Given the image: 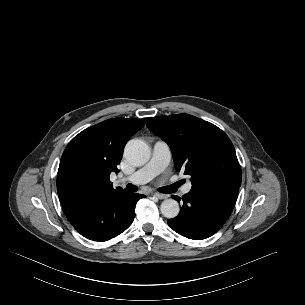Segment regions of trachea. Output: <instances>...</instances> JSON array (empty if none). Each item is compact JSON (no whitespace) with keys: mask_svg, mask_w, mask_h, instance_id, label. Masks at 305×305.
Returning <instances> with one entry per match:
<instances>
[{"mask_svg":"<svg viewBox=\"0 0 305 305\" xmlns=\"http://www.w3.org/2000/svg\"><path fill=\"white\" fill-rule=\"evenodd\" d=\"M182 184H183L182 181H178V182H176V183L173 185V187H174L175 189H177V188H178L179 186H181ZM126 191L129 192V193H131V192H136V191H137V187H136L135 185H133V184H128V185L126 186ZM160 191H161V192H165V188L160 189Z\"/></svg>","mask_w":305,"mask_h":305,"instance_id":"trachea-1","label":"trachea"}]
</instances>
